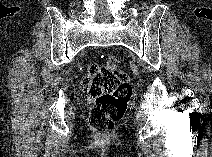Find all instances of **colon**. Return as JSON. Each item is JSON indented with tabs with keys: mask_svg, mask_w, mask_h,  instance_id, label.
I'll return each instance as SVG.
<instances>
[{
	"mask_svg": "<svg viewBox=\"0 0 212 157\" xmlns=\"http://www.w3.org/2000/svg\"><path fill=\"white\" fill-rule=\"evenodd\" d=\"M82 87L95 98L89 112L91 127L101 137H109L115 124L123 118L132 95L129 76L120 59L109 55L102 65L91 64Z\"/></svg>",
	"mask_w": 212,
	"mask_h": 157,
	"instance_id": "obj_1",
	"label": "colon"
}]
</instances>
